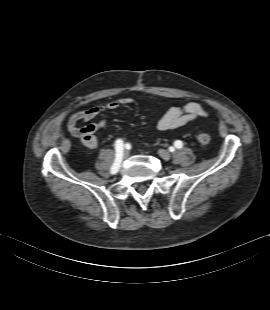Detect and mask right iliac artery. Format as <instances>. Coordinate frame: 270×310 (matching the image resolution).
I'll return each instance as SVG.
<instances>
[{"label": "right iliac artery", "instance_id": "obj_1", "mask_svg": "<svg viewBox=\"0 0 270 310\" xmlns=\"http://www.w3.org/2000/svg\"><path fill=\"white\" fill-rule=\"evenodd\" d=\"M123 141L121 139H117L115 142V150H116V158L115 161L111 167V174H115L122 162V156H123Z\"/></svg>", "mask_w": 270, "mask_h": 310}]
</instances>
